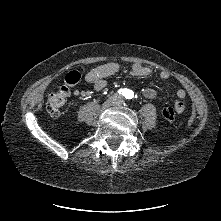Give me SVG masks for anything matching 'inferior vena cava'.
Segmentation results:
<instances>
[{"label": "inferior vena cava", "mask_w": 221, "mask_h": 221, "mask_svg": "<svg viewBox=\"0 0 221 221\" xmlns=\"http://www.w3.org/2000/svg\"><path fill=\"white\" fill-rule=\"evenodd\" d=\"M121 97L118 94L112 96V100H119Z\"/></svg>", "instance_id": "602c4592"}]
</instances>
